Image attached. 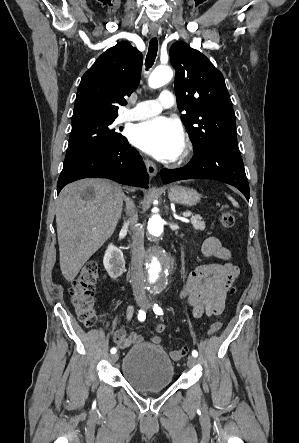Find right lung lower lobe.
I'll return each instance as SVG.
<instances>
[{
    "mask_svg": "<svg viewBox=\"0 0 299 443\" xmlns=\"http://www.w3.org/2000/svg\"><path fill=\"white\" fill-rule=\"evenodd\" d=\"M83 178H107L118 183L148 188L149 176L140 154L125 139L93 153L62 170L57 192L68 183Z\"/></svg>",
    "mask_w": 299,
    "mask_h": 443,
    "instance_id": "1",
    "label": "right lung lower lobe"
}]
</instances>
